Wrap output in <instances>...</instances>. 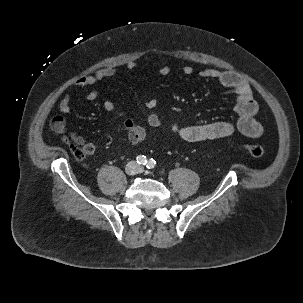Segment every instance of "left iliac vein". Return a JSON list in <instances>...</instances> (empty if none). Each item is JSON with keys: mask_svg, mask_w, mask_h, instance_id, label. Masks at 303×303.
<instances>
[{"mask_svg": "<svg viewBox=\"0 0 303 303\" xmlns=\"http://www.w3.org/2000/svg\"><path fill=\"white\" fill-rule=\"evenodd\" d=\"M139 172H143V168H139Z\"/></svg>", "mask_w": 303, "mask_h": 303, "instance_id": "obj_1", "label": "left iliac vein"}]
</instances>
